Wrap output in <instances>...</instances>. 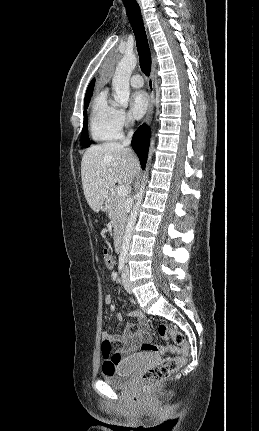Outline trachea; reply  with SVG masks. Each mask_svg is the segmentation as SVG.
<instances>
[{"instance_id":"1","label":"trachea","mask_w":259,"mask_h":431,"mask_svg":"<svg viewBox=\"0 0 259 431\" xmlns=\"http://www.w3.org/2000/svg\"><path fill=\"white\" fill-rule=\"evenodd\" d=\"M122 1L126 8L127 16L136 38V46L139 55L140 68L146 76H149L151 71V53L140 12V7L136 0Z\"/></svg>"}]
</instances>
